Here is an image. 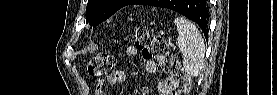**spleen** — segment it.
<instances>
[{"instance_id":"1","label":"spleen","mask_w":277,"mask_h":95,"mask_svg":"<svg viewBox=\"0 0 277 95\" xmlns=\"http://www.w3.org/2000/svg\"><path fill=\"white\" fill-rule=\"evenodd\" d=\"M177 31V46L183 57V67L190 76H197L204 64L205 45L199 30L188 20L177 17L174 20Z\"/></svg>"}]
</instances>
